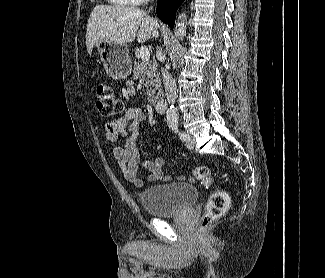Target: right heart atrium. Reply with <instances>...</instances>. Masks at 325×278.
Returning <instances> with one entry per match:
<instances>
[{"instance_id":"1","label":"right heart atrium","mask_w":325,"mask_h":278,"mask_svg":"<svg viewBox=\"0 0 325 278\" xmlns=\"http://www.w3.org/2000/svg\"><path fill=\"white\" fill-rule=\"evenodd\" d=\"M136 4H143L148 0H134Z\"/></svg>"}]
</instances>
